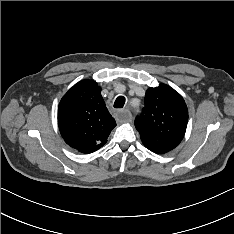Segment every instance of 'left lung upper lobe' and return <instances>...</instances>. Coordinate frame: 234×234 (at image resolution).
<instances>
[{"mask_svg":"<svg viewBox=\"0 0 234 234\" xmlns=\"http://www.w3.org/2000/svg\"><path fill=\"white\" fill-rule=\"evenodd\" d=\"M188 122V109L182 96L166 84L149 88L145 94V107L135 119L141 140L154 143L169 140L177 145L184 137Z\"/></svg>","mask_w":234,"mask_h":234,"instance_id":"5c2ea615","label":"left lung upper lobe"}]
</instances>
